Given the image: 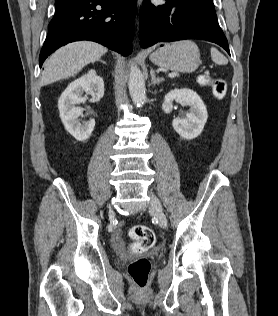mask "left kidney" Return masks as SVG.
<instances>
[{
  "mask_svg": "<svg viewBox=\"0 0 278 316\" xmlns=\"http://www.w3.org/2000/svg\"><path fill=\"white\" fill-rule=\"evenodd\" d=\"M173 100H178L182 104L190 107V112L186 118H175L172 122L174 130L185 139L198 137L204 128L208 114L206 106L199 95L191 89H174L165 95L162 109L165 113H170L173 107Z\"/></svg>",
  "mask_w": 278,
  "mask_h": 316,
  "instance_id": "1",
  "label": "left kidney"
}]
</instances>
